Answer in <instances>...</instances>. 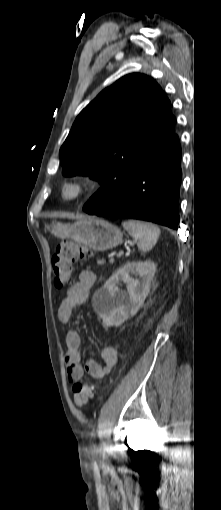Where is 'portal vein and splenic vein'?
I'll use <instances>...</instances> for the list:
<instances>
[{"label": "portal vein and splenic vein", "mask_w": 221, "mask_h": 510, "mask_svg": "<svg viewBox=\"0 0 221 510\" xmlns=\"http://www.w3.org/2000/svg\"><path fill=\"white\" fill-rule=\"evenodd\" d=\"M109 261H110V263H113L114 262V258H111Z\"/></svg>", "instance_id": "18ae733b"}]
</instances>
